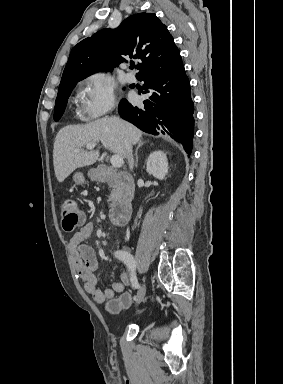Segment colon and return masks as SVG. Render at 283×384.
<instances>
[{
	"instance_id": "obj_1",
	"label": "colon",
	"mask_w": 283,
	"mask_h": 384,
	"mask_svg": "<svg viewBox=\"0 0 283 384\" xmlns=\"http://www.w3.org/2000/svg\"><path fill=\"white\" fill-rule=\"evenodd\" d=\"M59 210L61 224L65 231H73L83 223V215L73 199L66 198L62 200ZM133 302V295L129 292H124L118 298L108 302L105 309L107 312L114 314L129 308Z\"/></svg>"
}]
</instances>
